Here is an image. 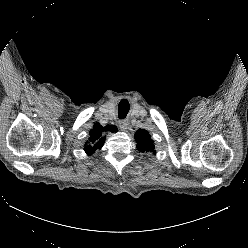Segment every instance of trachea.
<instances>
[{
  "mask_svg": "<svg viewBox=\"0 0 248 248\" xmlns=\"http://www.w3.org/2000/svg\"><path fill=\"white\" fill-rule=\"evenodd\" d=\"M129 109H121V108H118V111H119V118L120 119H124L126 117V114L128 112Z\"/></svg>",
  "mask_w": 248,
  "mask_h": 248,
  "instance_id": "1",
  "label": "trachea"
}]
</instances>
